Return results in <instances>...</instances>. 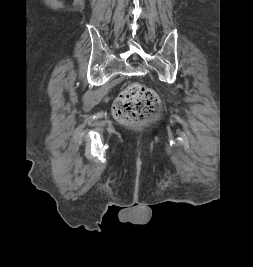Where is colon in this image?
I'll list each match as a JSON object with an SVG mask.
<instances>
[{
  "mask_svg": "<svg viewBox=\"0 0 253 267\" xmlns=\"http://www.w3.org/2000/svg\"><path fill=\"white\" fill-rule=\"evenodd\" d=\"M160 109L156 92L140 83H132L117 97L113 112L123 123H138L154 116Z\"/></svg>",
  "mask_w": 253,
  "mask_h": 267,
  "instance_id": "colon-1",
  "label": "colon"
}]
</instances>
